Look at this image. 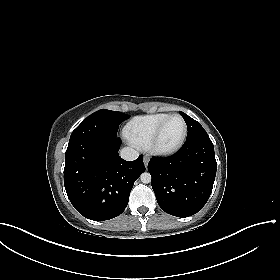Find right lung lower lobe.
I'll list each match as a JSON object with an SVG mask.
<instances>
[{
    "instance_id": "obj_1",
    "label": "right lung lower lobe",
    "mask_w": 280,
    "mask_h": 280,
    "mask_svg": "<svg viewBox=\"0 0 280 280\" xmlns=\"http://www.w3.org/2000/svg\"><path fill=\"white\" fill-rule=\"evenodd\" d=\"M117 137H85L68 144L64 186L74 208L84 217L103 221L126 208L134 182L145 171L143 156L126 161Z\"/></svg>"
}]
</instances>
